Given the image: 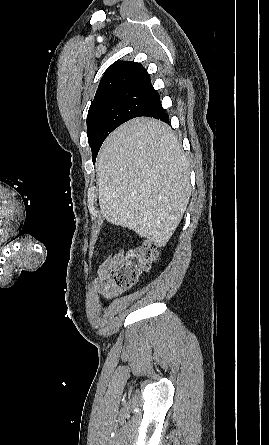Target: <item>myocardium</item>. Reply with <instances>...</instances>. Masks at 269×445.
<instances>
[{"label": "myocardium", "instance_id": "obj_1", "mask_svg": "<svg viewBox=\"0 0 269 445\" xmlns=\"http://www.w3.org/2000/svg\"><path fill=\"white\" fill-rule=\"evenodd\" d=\"M10 236H11V233L8 234V235H6L5 237L1 238V239H0V243L3 242V241H5V240H7Z\"/></svg>", "mask_w": 269, "mask_h": 445}]
</instances>
